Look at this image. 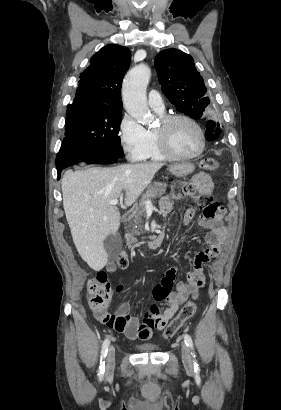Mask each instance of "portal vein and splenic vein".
<instances>
[{"label": "portal vein and splenic vein", "instance_id": "18ae733b", "mask_svg": "<svg viewBox=\"0 0 281 410\" xmlns=\"http://www.w3.org/2000/svg\"><path fill=\"white\" fill-rule=\"evenodd\" d=\"M110 204H111V205H116V204H118V199L111 200V201H110ZM144 204H145V206H146L147 208H148V207L150 208V207L153 206L151 200H146V201L144 202Z\"/></svg>", "mask_w": 281, "mask_h": 410}]
</instances>
